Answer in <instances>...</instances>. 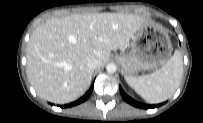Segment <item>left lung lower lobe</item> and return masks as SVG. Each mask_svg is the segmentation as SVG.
Masks as SVG:
<instances>
[{"instance_id":"1","label":"left lung lower lobe","mask_w":203,"mask_h":123,"mask_svg":"<svg viewBox=\"0 0 203 123\" xmlns=\"http://www.w3.org/2000/svg\"><path fill=\"white\" fill-rule=\"evenodd\" d=\"M120 93L123 97V99L128 102L129 104H131L132 106H135V107H140V108H145V109H149V108H155V107H158L159 105H146V104H141L137 101H135L134 99L130 98L125 92L124 90L122 89V87L120 86Z\"/></svg>"}]
</instances>
